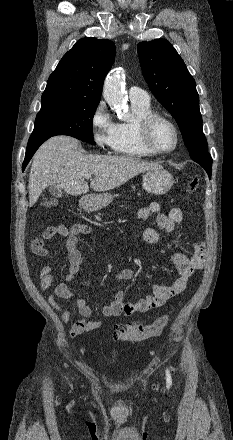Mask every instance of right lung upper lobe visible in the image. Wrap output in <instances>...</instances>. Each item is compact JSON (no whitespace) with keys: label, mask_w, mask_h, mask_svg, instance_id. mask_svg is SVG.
Returning a JSON list of instances; mask_svg holds the SVG:
<instances>
[{"label":"right lung upper lobe","mask_w":233,"mask_h":440,"mask_svg":"<svg viewBox=\"0 0 233 440\" xmlns=\"http://www.w3.org/2000/svg\"><path fill=\"white\" fill-rule=\"evenodd\" d=\"M114 59L112 41L90 37L78 40L50 75L41 103L54 99L99 102Z\"/></svg>","instance_id":"right-lung-upper-lobe-1"}]
</instances>
